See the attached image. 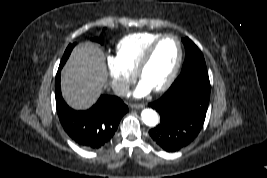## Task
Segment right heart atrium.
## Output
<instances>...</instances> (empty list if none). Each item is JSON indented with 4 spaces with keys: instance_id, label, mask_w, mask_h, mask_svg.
I'll list each match as a JSON object with an SVG mask.
<instances>
[{
    "instance_id": "d8ad5b80",
    "label": "right heart atrium",
    "mask_w": 267,
    "mask_h": 178,
    "mask_svg": "<svg viewBox=\"0 0 267 178\" xmlns=\"http://www.w3.org/2000/svg\"><path fill=\"white\" fill-rule=\"evenodd\" d=\"M106 66L113 91L117 95L125 94L135 79V73L126 69L119 60L113 56H107Z\"/></svg>"
}]
</instances>
